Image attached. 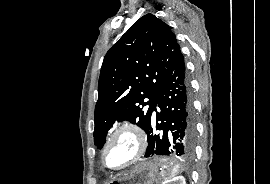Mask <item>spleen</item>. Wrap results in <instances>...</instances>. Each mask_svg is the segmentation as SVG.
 <instances>
[{
    "label": "spleen",
    "instance_id": "1",
    "mask_svg": "<svg viewBox=\"0 0 270 184\" xmlns=\"http://www.w3.org/2000/svg\"><path fill=\"white\" fill-rule=\"evenodd\" d=\"M165 161H166V159H160V164L163 167L165 166ZM178 168H179V166H177L176 168H173L169 173L162 171L161 175L163 176V180H164V182L162 184L166 183L168 180L175 177L177 175Z\"/></svg>",
    "mask_w": 270,
    "mask_h": 184
}]
</instances>
